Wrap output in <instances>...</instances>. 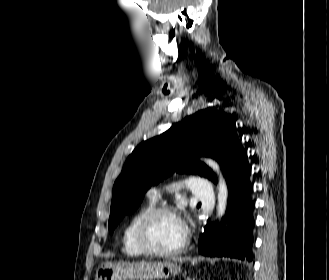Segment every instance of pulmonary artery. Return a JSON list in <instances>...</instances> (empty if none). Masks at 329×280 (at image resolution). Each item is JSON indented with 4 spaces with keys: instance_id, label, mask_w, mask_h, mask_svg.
I'll use <instances>...</instances> for the list:
<instances>
[{
    "instance_id": "1",
    "label": "pulmonary artery",
    "mask_w": 329,
    "mask_h": 280,
    "mask_svg": "<svg viewBox=\"0 0 329 280\" xmlns=\"http://www.w3.org/2000/svg\"><path fill=\"white\" fill-rule=\"evenodd\" d=\"M188 186L193 194L204 202L210 201L213 197V188L207 179L192 177L189 179ZM147 196L152 200H157L160 197V189L156 187L150 188L147 192Z\"/></svg>"
}]
</instances>
